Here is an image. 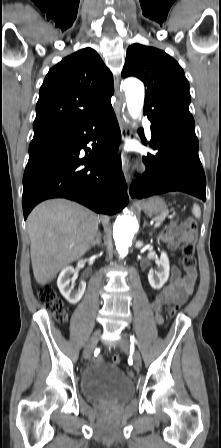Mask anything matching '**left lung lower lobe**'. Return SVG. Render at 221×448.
Returning <instances> with one entry per match:
<instances>
[{
	"mask_svg": "<svg viewBox=\"0 0 221 448\" xmlns=\"http://www.w3.org/2000/svg\"><path fill=\"white\" fill-rule=\"evenodd\" d=\"M150 147L156 154L143 158L145 173L131 185L130 194L146 198L169 191H182L206 200L205 174L198 156V140L151 125Z\"/></svg>",
	"mask_w": 221,
	"mask_h": 448,
	"instance_id": "left-lung-lower-lobe-1",
	"label": "left lung lower lobe"
}]
</instances>
